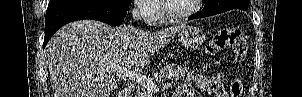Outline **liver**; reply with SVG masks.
<instances>
[{
	"mask_svg": "<svg viewBox=\"0 0 302 97\" xmlns=\"http://www.w3.org/2000/svg\"><path fill=\"white\" fill-rule=\"evenodd\" d=\"M183 28L176 25L150 32L94 20L63 26L45 48L54 97H109L117 80L105 71L108 65L129 71L144 67L150 54L167 45Z\"/></svg>",
	"mask_w": 302,
	"mask_h": 97,
	"instance_id": "obj_1",
	"label": "liver"
}]
</instances>
